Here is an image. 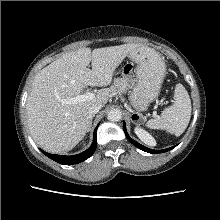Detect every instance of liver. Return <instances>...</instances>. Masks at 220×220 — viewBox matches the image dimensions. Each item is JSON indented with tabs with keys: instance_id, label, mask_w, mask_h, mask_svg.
<instances>
[{
	"instance_id": "6515ba94",
	"label": "liver",
	"mask_w": 220,
	"mask_h": 220,
	"mask_svg": "<svg viewBox=\"0 0 220 220\" xmlns=\"http://www.w3.org/2000/svg\"><path fill=\"white\" fill-rule=\"evenodd\" d=\"M138 44L97 48H80L68 52L39 71L26 102L28 126L32 138L51 153L73 149L88 131L95 104L105 105L111 90L103 88L93 100L75 104L65 101L79 96L87 86L105 87L121 62ZM91 62L92 69L88 66Z\"/></svg>"
}]
</instances>
